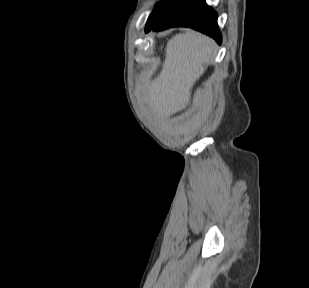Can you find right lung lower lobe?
I'll list each match as a JSON object with an SVG mask.
<instances>
[{"label": "right lung lower lobe", "mask_w": 309, "mask_h": 288, "mask_svg": "<svg viewBox=\"0 0 309 288\" xmlns=\"http://www.w3.org/2000/svg\"><path fill=\"white\" fill-rule=\"evenodd\" d=\"M176 26L193 28L211 36L221 44L222 36L218 29L217 14L205 0H183L181 5L166 13L153 25L146 27L145 31H158Z\"/></svg>", "instance_id": "1"}]
</instances>
